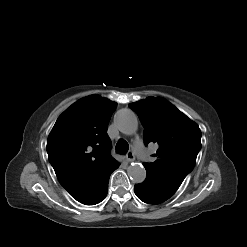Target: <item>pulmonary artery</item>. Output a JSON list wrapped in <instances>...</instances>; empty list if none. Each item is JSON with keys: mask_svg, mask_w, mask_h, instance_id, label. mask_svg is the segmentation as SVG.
I'll list each match as a JSON object with an SVG mask.
<instances>
[{"mask_svg": "<svg viewBox=\"0 0 247 247\" xmlns=\"http://www.w3.org/2000/svg\"><path fill=\"white\" fill-rule=\"evenodd\" d=\"M136 151L143 157H147L148 156V152L147 150L143 147V146H137L136 147Z\"/></svg>", "mask_w": 247, "mask_h": 247, "instance_id": "1", "label": "pulmonary artery"}]
</instances>
